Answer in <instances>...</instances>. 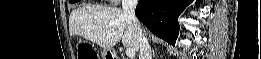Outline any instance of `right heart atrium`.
<instances>
[{"instance_id": "1", "label": "right heart atrium", "mask_w": 261, "mask_h": 59, "mask_svg": "<svg viewBox=\"0 0 261 59\" xmlns=\"http://www.w3.org/2000/svg\"><path fill=\"white\" fill-rule=\"evenodd\" d=\"M110 1H112L114 4H116V3H119V2H120V0H110Z\"/></svg>"}]
</instances>
